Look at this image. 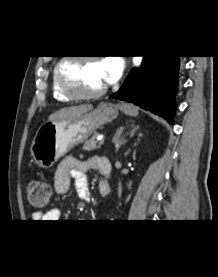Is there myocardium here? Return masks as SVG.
I'll return each instance as SVG.
<instances>
[{"mask_svg":"<svg viewBox=\"0 0 218 277\" xmlns=\"http://www.w3.org/2000/svg\"><path fill=\"white\" fill-rule=\"evenodd\" d=\"M98 61L94 56L64 57L55 66V74L59 90L68 98L75 100L91 99L102 96L107 91V85L92 92H82L77 90L67 77L65 67L71 62Z\"/></svg>","mask_w":218,"mask_h":277,"instance_id":"f54148a6","label":"myocardium"}]
</instances>
